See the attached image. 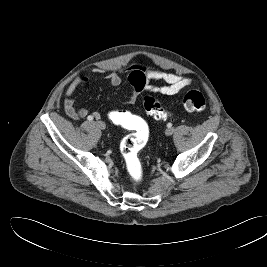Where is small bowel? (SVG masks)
<instances>
[{"label":"small bowel","mask_w":267,"mask_h":267,"mask_svg":"<svg viewBox=\"0 0 267 267\" xmlns=\"http://www.w3.org/2000/svg\"><path fill=\"white\" fill-rule=\"evenodd\" d=\"M104 79L111 87L120 86L122 80L117 72H111L104 76ZM127 80L133 87V92L127 103H134L142 91L157 92L164 95H175L182 89L190 85L191 80L187 77L176 73L161 72L153 67H146L141 64L131 66ZM89 79L85 76H77L65 91L64 110L68 116L74 119L87 118L100 119L98 112H90L85 108H77L75 106V94L77 90L87 84ZM161 81L163 85L156 86L152 82Z\"/></svg>","instance_id":"1"}]
</instances>
